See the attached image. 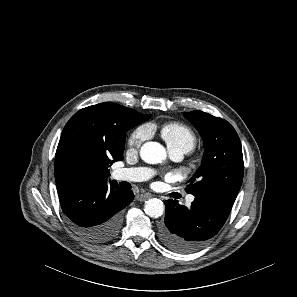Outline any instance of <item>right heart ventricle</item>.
<instances>
[{"label":"right heart ventricle","instance_id":"1","mask_svg":"<svg viewBox=\"0 0 297 297\" xmlns=\"http://www.w3.org/2000/svg\"><path fill=\"white\" fill-rule=\"evenodd\" d=\"M161 135L166 141L168 148L185 147L192 150L197 142L193 130L177 122L168 123L162 126Z\"/></svg>","mask_w":297,"mask_h":297}]
</instances>
